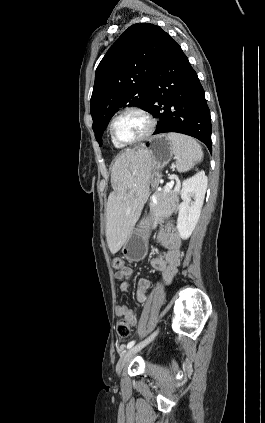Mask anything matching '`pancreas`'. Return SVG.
<instances>
[{
    "instance_id": "cf45deb5",
    "label": "pancreas",
    "mask_w": 265,
    "mask_h": 423,
    "mask_svg": "<svg viewBox=\"0 0 265 423\" xmlns=\"http://www.w3.org/2000/svg\"><path fill=\"white\" fill-rule=\"evenodd\" d=\"M178 195V191L174 192L172 190H162L160 193L156 194V203L151 201L149 204L150 215L154 224L163 222L177 211L179 202Z\"/></svg>"
}]
</instances>
